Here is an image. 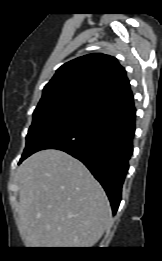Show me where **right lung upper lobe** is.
I'll list each match as a JSON object with an SVG mask.
<instances>
[{
    "mask_svg": "<svg viewBox=\"0 0 162 261\" xmlns=\"http://www.w3.org/2000/svg\"><path fill=\"white\" fill-rule=\"evenodd\" d=\"M81 92L106 103L131 94L125 69L116 58L102 53L78 57L62 65L43 89V96Z\"/></svg>",
    "mask_w": 162,
    "mask_h": 261,
    "instance_id": "1",
    "label": "right lung upper lobe"
}]
</instances>
